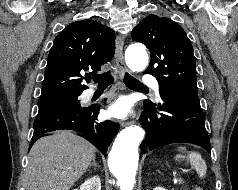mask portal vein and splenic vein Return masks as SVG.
Segmentation results:
<instances>
[{
	"mask_svg": "<svg viewBox=\"0 0 238 190\" xmlns=\"http://www.w3.org/2000/svg\"><path fill=\"white\" fill-rule=\"evenodd\" d=\"M183 172L187 173V172H188V170H187V169H183ZM173 174L175 175V174H176V172H173Z\"/></svg>",
	"mask_w": 238,
	"mask_h": 190,
	"instance_id": "portal-vein-and-splenic-vein-1",
	"label": "portal vein and splenic vein"
}]
</instances>
